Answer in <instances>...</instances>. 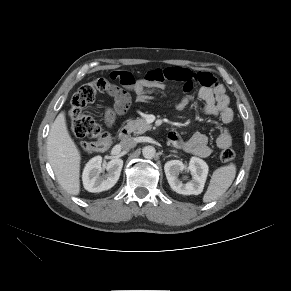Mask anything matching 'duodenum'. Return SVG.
<instances>
[{
  "label": "duodenum",
  "mask_w": 291,
  "mask_h": 291,
  "mask_svg": "<svg viewBox=\"0 0 291 291\" xmlns=\"http://www.w3.org/2000/svg\"><path fill=\"white\" fill-rule=\"evenodd\" d=\"M130 136V129L128 127H122L119 131V139L125 140Z\"/></svg>",
  "instance_id": "1"
}]
</instances>
